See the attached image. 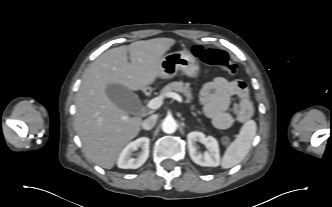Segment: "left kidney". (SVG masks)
Returning <instances> with one entry per match:
<instances>
[{
  "instance_id": "left-kidney-1",
  "label": "left kidney",
  "mask_w": 332,
  "mask_h": 207,
  "mask_svg": "<svg viewBox=\"0 0 332 207\" xmlns=\"http://www.w3.org/2000/svg\"><path fill=\"white\" fill-rule=\"evenodd\" d=\"M189 154L193 162L200 166L217 167L220 165V154L217 140L205 136L202 132L193 131L187 135ZM197 142L206 146L208 151L203 154L198 151Z\"/></svg>"
}]
</instances>
